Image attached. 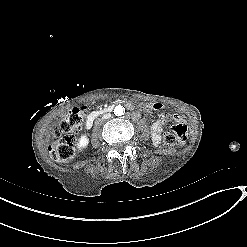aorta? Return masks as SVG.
I'll return each instance as SVG.
<instances>
[{
    "instance_id": "762f6f07",
    "label": "aorta",
    "mask_w": 247,
    "mask_h": 247,
    "mask_svg": "<svg viewBox=\"0 0 247 247\" xmlns=\"http://www.w3.org/2000/svg\"><path fill=\"white\" fill-rule=\"evenodd\" d=\"M124 113H125V109H124L123 106L118 105V106L115 107V109H114V114H115L116 116H122V115H124Z\"/></svg>"
}]
</instances>
